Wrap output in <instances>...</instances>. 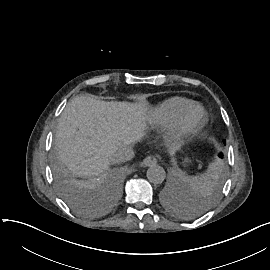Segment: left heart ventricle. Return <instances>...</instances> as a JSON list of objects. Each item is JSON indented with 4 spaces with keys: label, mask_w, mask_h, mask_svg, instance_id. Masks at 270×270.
Returning <instances> with one entry per match:
<instances>
[{
    "label": "left heart ventricle",
    "mask_w": 270,
    "mask_h": 270,
    "mask_svg": "<svg viewBox=\"0 0 270 270\" xmlns=\"http://www.w3.org/2000/svg\"><path fill=\"white\" fill-rule=\"evenodd\" d=\"M198 115H199V112H196V113L194 114L195 117L198 116Z\"/></svg>",
    "instance_id": "b2bd125f"
}]
</instances>
